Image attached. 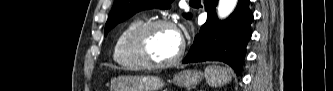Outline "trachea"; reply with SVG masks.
<instances>
[{"label":"trachea","instance_id":"obj_1","mask_svg":"<svg viewBox=\"0 0 333 91\" xmlns=\"http://www.w3.org/2000/svg\"><path fill=\"white\" fill-rule=\"evenodd\" d=\"M193 1L200 2L199 0H193Z\"/></svg>","mask_w":333,"mask_h":91}]
</instances>
